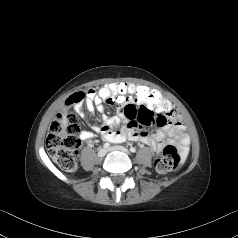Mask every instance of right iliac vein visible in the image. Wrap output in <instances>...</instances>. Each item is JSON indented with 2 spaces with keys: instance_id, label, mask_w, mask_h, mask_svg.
Wrapping results in <instances>:
<instances>
[{
  "instance_id": "63e3f726",
  "label": "right iliac vein",
  "mask_w": 238,
  "mask_h": 238,
  "mask_svg": "<svg viewBox=\"0 0 238 238\" xmlns=\"http://www.w3.org/2000/svg\"><path fill=\"white\" fill-rule=\"evenodd\" d=\"M106 154H107V150L105 148H100L97 153L98 157L100 158H103Z\"/></svg>"
}]
</instances>
